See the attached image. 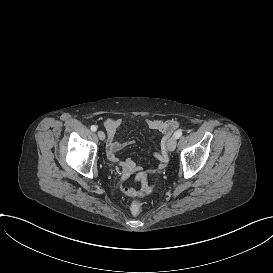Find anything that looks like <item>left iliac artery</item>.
<instances>
[{
    "mask_svg": "<svg viewBox=\"0 0 273 273\" xmlns=\"http://www.w3.org/2000/svg\"><path fill=\"white\" fill-rule=\"evenodd\" d=\"M174 136L177 139L180 138L182 136V131L181 130L176 131L175 134H174Z\"/></svg>",
    "mask_w": 273,
    "mask_h": 273,
    "instance_id": "left-iliac-artery-1",
    "label": "left iliac artery"
}]
</instances>
